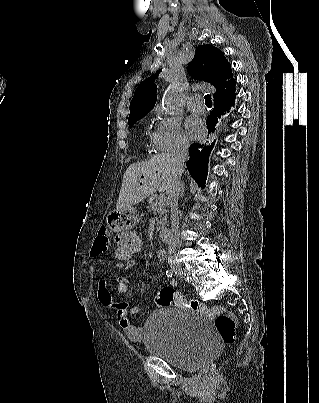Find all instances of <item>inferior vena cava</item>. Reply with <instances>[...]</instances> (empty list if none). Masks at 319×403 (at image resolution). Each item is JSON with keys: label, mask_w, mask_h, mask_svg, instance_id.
I'll list each match as a JSON object with an SVG mask.
<instances>
[{"label": "inferior vena cava", "mask_w": 319, "mask_h": 403, "mask_svg": "<svg viewBox=\"0 0 319 403\" xmlns=\"http://www.w3.org/2000/svg\"><path fill=\"white\" fill-rule=\"evenodd\" d=\"M188 149L189 143L187 140L179 139L176 143V146L171 154L173 164L176 169V174L174 177V181L172 187L169 191V197L171 199L170 207H171V234L169 237V248L174 249L177 243V232L179 226V218H178V197L179 191L181 187L180 177H181V169L184 165L188 157Z\"/></svg>", "instance_id": "obj_1"}]
</instances>
